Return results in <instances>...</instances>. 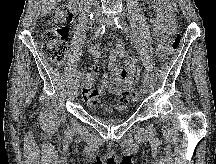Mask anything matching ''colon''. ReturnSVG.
Listing matches in <instances>:
<instances>
[{
    "instance_id": "5ec220e1",
    "label": "colon",
    "mask_w": 216,
    "mask_h": 164,
    "mask_svg": "<svg viewBox=\"0 0 216 164\" xmlns=\"http://www.w3.org/2000/svg\"><path fill=\"white\" fill-rule=\"evenodd\" d=\"M72 20V12L69 4H64L56 8L51 21L48 23L43 33L42 52L45 57L55 65L62 66L68 57V33L69 24ZM181 44V34L175 22L169 31V39L164 47L162 60L168 61ZM95 73L90 72L84 75L83 81L93 83ZM141 89L135 88L130 93V98L134 101L140 98Z\"/></svg>"
}]
</instances>
